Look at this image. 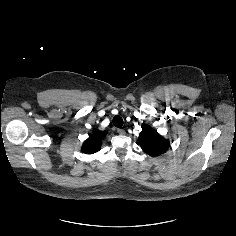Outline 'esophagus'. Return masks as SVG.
Segmentation results:
<instances>
[{
  "label": "esophagus",
  "mask_w": 236,
  "mask_h": 236,
  "mask_svg": "<svg viewBox=\"0 0 236 236\" xmlns=\"http://www.w3.org/2000/svg\"><path fill=\"white\" fill-rule=\"evenodd\" d=\"M117 133H118L119 135H124L126 132H125L124 129H117Z\"/></svg>",
  "instance_id": "1"
}]
</instances>
